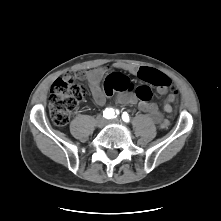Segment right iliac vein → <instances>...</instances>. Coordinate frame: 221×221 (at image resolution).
Wrapping results in <instances>:
<instances>
[{"instance_id":"63e3f726","label":"right iliac vein","mask_w":221,"mask_h":221,"mask_svg":"<svg viewBox=\"0 0 221 221\" xmlns=\"http://www.w3.org/2000/svg\"><path fill=\"white\" fill-rule=\"evenodd\" d=\"M104 124H105V119H104V117L101 116V115L97 116V118H96V125H97L98 127H102V126H104Z\"/></svg>"}]
</instances>
